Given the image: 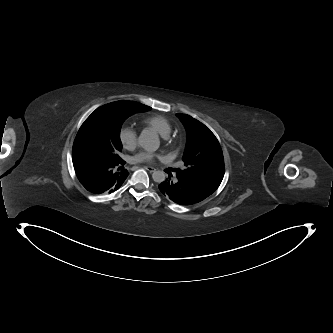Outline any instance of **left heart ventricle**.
<instances>
[{"mask_svg": "<svg viewBox=\"0 0 333 333\" xmlns=\"http://www.w3.org/2000/svg\"><path fill=\"white\" fill-rule=\"evenodd\" d=\"M158 148H159V146L155 145L152 149H153V151H157ZM157 152H160V150Z\"/></svg>", "mask_w": 333, "mask_h": 333, "instance_id": "obj_1", "label": "left heart ventricle"}]
</instances>
